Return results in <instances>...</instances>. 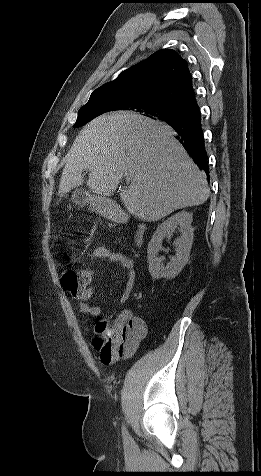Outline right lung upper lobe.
I'll list each match as a JSON object with an SVG mask.
<instances>
[{"instance_id": "1", "label": "right lung upper lobe", "mask_w": 261, "mask_h": 476, "mask_svg": "<svg viewBox=\"0 0 261 476\" xmlns=\"http://www.w3.org/2000/svg\"><path fill=\"white\" fill-rule=\"evenodd\" d=\"M113 97L120 110L165 104L182 110L197 106L188 65L174 50L162 49L97 88L88 102Z\"/></svg>"}]
</instances>
